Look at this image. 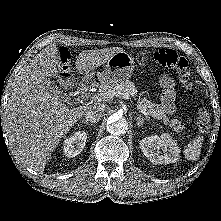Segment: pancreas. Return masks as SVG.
<instances>
[{"label": "pancreas", "instance_id": "1", "mask_svg": "<svg viewBox=\"0 0 221 221\" xmlns=\"http://www.w3.org/2000/svg\"><path fill=\"white\" fill-rule=\"evenodd\" d=\"M125 93L129 97H136L137 89L135 84L131 81H125L120 84H105L102 86L101 95L105 97L103 100H110L118 93ZM137 108L146 111L149 116L154 119L162 120L164 124L169 125L174 131L183 130L184 125L177 118L169 120L164 111L158 107L157 104L152 103L146 98H139L137 101Z\"/></svg>", "mask_w": 221, "mask_h": 221}]
</instances>
